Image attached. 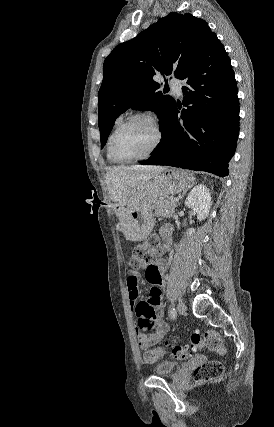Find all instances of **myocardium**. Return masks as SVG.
Returning a JSON list of instances; mask_svg holds the SVG:
<instances>
[{"label":"myocardium","mask_w":274,"mask_h":427,"mask_svg":"<svg viewBox=\"0 0 274 427\" xmlns=\"http://www.w3.org/2000/svg\"><path fill=\"white\" fill-rule=\"evenodd\" d=\"M138 119H145L153 125V127L155 128L156 133H157L156 142L152 146V148L144 155L133 157V158L121 157L116 152V150L114 148V137L122 127H124L125 125L129 124L130 122L138 120ZM163 141H164V131H163L160 123L158 122V120L150 113L138 112V113H135V114L129 116L128 118H126L124 121L119 123L114 128V130L112 131V133L110 134L109 139H108V150H109L111 156L116 161H118L120 163H132V162H136V161L146 160V159L150 158L151 156H153L159 150V148L162 146Z\"/></svg>","instance_id":"obj_1"}]
</instances>
